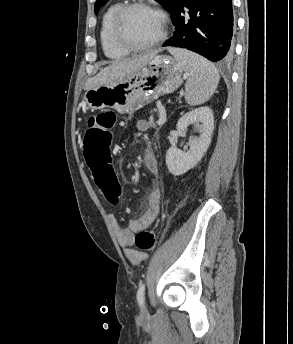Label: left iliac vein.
I'll return each instance as SVG.
<instances>
[{"mask_svg": "<svg viewBox=\"0 0 293 344\" xmlns=\"http://www.w3.org/2000/svg\"><path fill=\"white\" fill-rule=\"evenodd\" d=\"M147 315V309L145 306L142 307V310H141V317H144Z\"/></svg>", "mask_w": 293, "mask_h": 344, "instance_id": "left-iliac-vein-1", "label": "left iliac vein"}]
</instances>
